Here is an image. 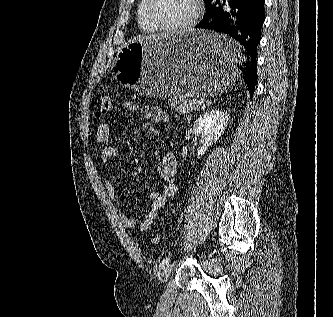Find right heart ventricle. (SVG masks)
<instances>
[{
  "label": "right heart ventricle",
  "instance_id": "obj_1",
  "mask_svg": "<svg viewBox=\"0 0 333 317\" xmlns=\"http://www.w3.org/2000/svg\"><path fill=\"white\" fill-rule=\"evenodd\" d=\"M144 3L145 0H141L137 10V22L140 29L145 33H154L157 31L155 27H153L150 22L147 20L144 13Z\"/></svg>",
  "mask_w": 333,
  "mask_h": 317
}]
</instances>
